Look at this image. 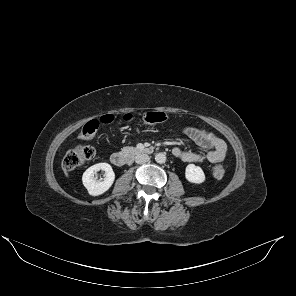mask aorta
<instances>
[{
    "label": "aorta",
    "mask_w": 296,
    "mask_h": 296,
    "mask_svg": "<svg viewBox=\"0 0 296 296\" xmlns=\"http://www.w3.org/2000/svg\"><path fill=\"white\" fill-rule=\"evenodd\" d=\"M155 161L159 164H163L166 162V155L164 153H157L155 155Z\"/></svg>",
    "instance_id": "obj_1"
}]
</instances>
